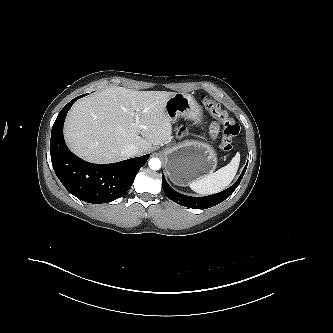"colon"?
<instances>
[{
    "mask_svg": "<svg viewBox=\"0 0 333 333\" xmlns=\"http://www.w3.org/2000/svg\"><path fill=\"white\" fill-rule=\"evenodd\" d=\"M201 100L205 109L222 123L220 148L224 152H229L232 149L233 138L239 133V125L229 117L226 111L222 110L215 100L206 96H202Z\"/></svg>",
    "mask_w": 333,
    "mask_h": 333,
    "instance_id": "colon-1",
    "label": "colon"
}]
</instances>
